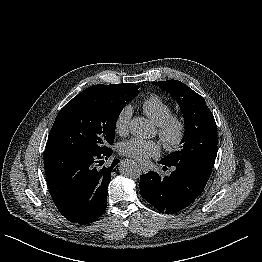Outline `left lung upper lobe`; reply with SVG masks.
<instances>
[{"label": "left lung upper lobe", "mask_w": 262, "mask_h": 262, "mask_svg": "<svg viewBox=\"0 0 262 262\" xmlns=\"http://www.w3.org/2000/svg\"><path fill=\"white\" fill-rule=\"evenodd\" d=\"M180 103L185 133L182 146L161 161L174 166L180 163L212 165L217 154V126L202 96L177 80L155 82Z\"/></svg>", "instance_id": "5c2ea615"}]
</instances>
